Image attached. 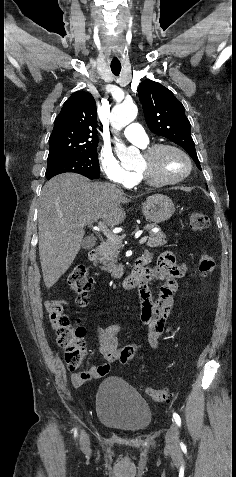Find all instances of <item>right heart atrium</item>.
I'll return each instance as SVG.
<instances>
[{"label": "right heart atrium", "instance_id": "right-heart-atrium-1", "mask_svg": "<svg viewBox=\"0 0 236 477\" xmlns=\"http://www.w3.org/2000/svg\"><path fill=\"white\" fill-rule=\"evenodd\" d=\"M99 167L110 183L126 187L134 183V174L126 170L113 154L108 151L100 153Z\"/></svg>", "mask_w": 236, "mask_h": 477}]
</instances>
